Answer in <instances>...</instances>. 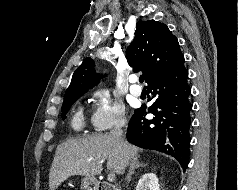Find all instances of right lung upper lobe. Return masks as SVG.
Here are the masks:
<instances>
[{"label":"right lung upper lobe","instance_id":"1","mask_svg":"<svg viewBox=\"0 0 238 190\" xmlns=\"http://www.w3.org/2000/svg\"><path fill=\"white\" fill-rule=\"evenodd\" d=\"M134 71H142L147 84L172 70L183 58L177 38L165 24L155 20L138 21L135 38L126 50ZM94 62L87 57L72 76L65 97L84 94L96 85Z\"/></svg>","mask_w":238,"mask_h":190}]
</instances>
